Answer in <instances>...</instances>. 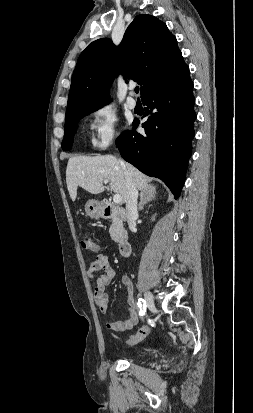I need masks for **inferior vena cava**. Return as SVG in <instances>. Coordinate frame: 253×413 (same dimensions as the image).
Returning a JSON list of instances; mask_svg holds the SVG:
<instances>
[{
    "mask_svg": "<svg viewBox=\"0 0 253 413\" xmlns=\"http://www.w3.org/2000/svg\"><path fill=\"white\" fill-rule=\"evenodd\" d=\"M121 165L125 170L126 178H127V186H128V194L126 199V210H127V220L128 226L131 231L135 230L136 227V218L138 216L137 211V199H138V191L134 184L132 183L131 178L126 170L124 162L121 161Z\"/></svg>",
    "mask_w": 253,
    "mask_h": 413,
    "instance_id": "obj_1",
    "label": "inferior vena cava"
}]
</instances>
